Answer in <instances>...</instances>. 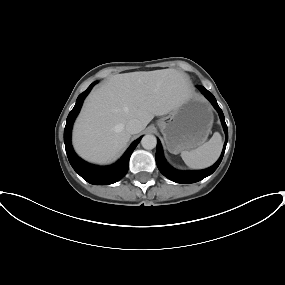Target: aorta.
<instances>
[{"label": "aorta", "mask_w": 285, "mask_h": 285, "mask_svg": "<svg viewBox=\"0 0 285 285\" xmlns=\"http://www.w3.org/2000/svg\"><path fill=\"white\" fill-rule=\"evenodd\" d=\"M157 140L152 134L145 135L141 140V145L144 149L151 150L156 147Z\"/></svg>", "instance_id": "1"}]
</instances>
